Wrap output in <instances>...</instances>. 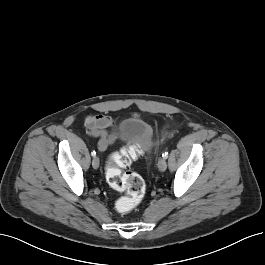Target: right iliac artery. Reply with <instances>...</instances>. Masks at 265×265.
Segmentation results:
<instances>
[{
	"label": "right iliac artery",
	"mask_w": 265,
	"mask_h": 265,
	"mask_svg": "<svg viewBox=\"0 0 265 265\" xmlns=\"http://www.w3.org/2000/svg\"><path fill=\"white\" fill-rule=\"evenodd\" d=\"M91 155H92V156H95V155H96V152H95V151H92V152H91Z\"/></svg>",
	"instance_id": "obj_1"
}]
</instances>
